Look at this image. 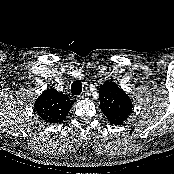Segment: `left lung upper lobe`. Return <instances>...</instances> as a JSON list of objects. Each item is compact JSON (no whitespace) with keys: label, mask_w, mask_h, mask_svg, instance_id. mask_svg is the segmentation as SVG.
<instances>
[{"label":"left lung upper lobe","mask_w":174,"mask_h":174,"mask_svg":"<svg viewBox=\"0 0 174 174\" xmlns=\"http://www.w3.org/2000/svg\"><path fill=\"white\" fill-rule=\"evenodd\" d=\"M100 109L114 125L122 124L132 111L129 96L114 82H106L99 89Z\"/></svg>","instance_id":"left-lung-upper-lobe-1"}]
</instances>
